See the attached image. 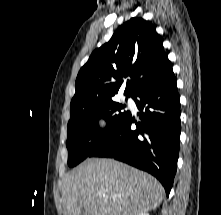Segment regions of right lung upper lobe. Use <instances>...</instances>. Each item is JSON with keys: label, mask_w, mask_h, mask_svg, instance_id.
I'll return each instance as SVG.
<instances>
[{"label": "right lung upper lobe", "mask_w": 221, "mask_h": 215, "mask_svg": "<svg viewBox=\"0 0 221 215\" xmlns=\"http://www.w3.org/2000/svg\"><path fill=\"white\" fill-rule=\"evenodd\" d=\"M172 72V64L155 27L142 18H131L112 38L95 49L76 78L73 104L114 99L126 82L124 95L134 97L141 89Z\"/></svg>", "instance_id": "obj_1"}]
</instances>
